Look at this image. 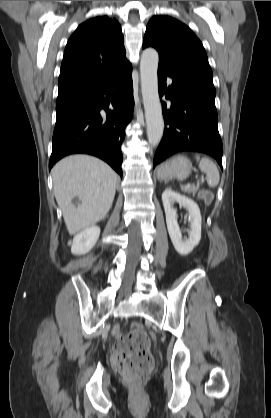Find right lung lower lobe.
I'll return each instance as SVG.
<instances>
[{
  "label": "right lung lower lobe",
  "instance_id": "98d812e1",
  "mask_svg": "<svg viewBox=\"0 0 271 418\" xmlns=\"http://www.w3.org/2000/svg\"><path fill=\"white\" fill-rule=\"evenodd\" d=\"M131 69L115 76L94 95L56 108L49 169L64 156L86 153L103 159L122 176L120 147L134 107ZM109 105L114 110L100 114Z\"/></svg>",
  "mask_w": 271,
  "mask_h": 418
}]
</instances>
